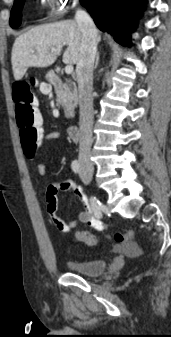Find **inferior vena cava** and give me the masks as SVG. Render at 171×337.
<instances>
[{
	"label": "inferior vena cava",
	"instance_id": "inferior-vena-cava-1",
	"mask_svg": "<svg viewBox=\"0 0 171 337\" xmlns=\"http://www.w3.org/2000/svg\"><path fill=\"white\" fill-rule=\"evenodd\" d=\"M75 20L82 32L80 58L76 67L80 107L79 161L90 163L93 127V66L97 52V30L90 15L77 9Z\"/></svg>",
	"mask_w": 171,
	"mask_h": 337
}]
</instances>
